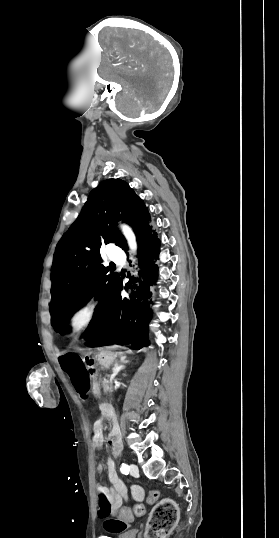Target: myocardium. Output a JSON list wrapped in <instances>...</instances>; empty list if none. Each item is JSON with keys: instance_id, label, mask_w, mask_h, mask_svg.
Segmentation results:
<instances>
[{"instance_id": "f54148a6", "label": "myocardium", "mask_w": 279, "mask_h": 538, "mask_svg": "<svg viewBox=\"0 0 279 538\" xmlns=\"http://www.w3.org/2000/svg\"><path fill=\"white\" fill-rule=\"evenodd\" d=\"M97 315V304L93 301H85L78 305L67 322V331L71 336L84 333L94 322Z\"/></svg>"}]
</instances>
